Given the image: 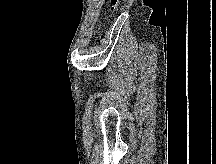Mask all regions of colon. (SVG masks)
<instances>
[{
  "instance_id": "5ec220e1",
  "label": "colon",
  "mask_w": 216,
  "mask_h": 164,
  "mask_svg": "<svg viewBox=\"0 0 216 164\" xmlns=\"http://www.w3.org/2000/svg\"><path fill=\"white\" fill-rule=\"evenodd\" d=\"M110 2H111L110 9H111V12L114 14L117 11L120 0H110ZM106 38H107V33L106 32L102 33L100 36V43L103 44Z\"/></svg>"
}]
</instances>
